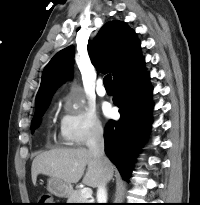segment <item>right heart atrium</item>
<instances>
[{
  "label": "right heart atrium",
  "mask_w": 200,
  "mask_h": 205,
  "mask_svg": "<svg viewBox=\"0 0 200 205\" xmlns=\"http://www.w3.org/2000/svg\"><path fill=\"white\" fill-rule=\"evenodd\" d=\"M103 134V126L95 112L75 101L66 100L59 123V138L71 146H81Z\"/></svg>",
  "instance_id": "right-heart-atrium-1"
}]
</instances>
